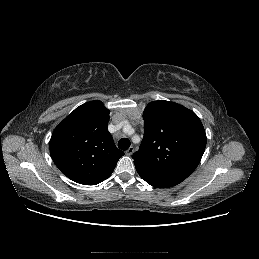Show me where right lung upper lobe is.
Masks as SVG:
<instances>
[{"label": "right lung upper lobe", "instance_id": "right-lung-upper-lobe-1", "mask_svg": "<svg viewBox=\"0 0 259 259\" xmlns=\"http://www.w3.org/2000/svg\"><path fill=\"white\" fill-rule=\"evenodd\" d=\"M109 110L101 101L76 108L53 131L50 154L55 165L71 180L96 185L113 172L124 152L107 129Z\"/></svg>", "mask_w": 259, "mask_h": 259}]
</instances>
